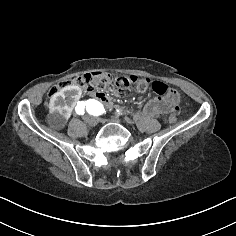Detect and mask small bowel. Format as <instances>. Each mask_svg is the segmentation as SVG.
Wrapping results in <instances>:
<instances>
[{
    "label": "small bowel",
    "instance_id": "1",
    "mask_svg": "<svg viewBox=\"0 0 236 236\" xmlns=\"http://www.w3.org/2000/svg\"><path fill=\"white\" fill-rule=\"evenodd\" d=\"M172 100L155 98L151 100L144 108L143 113L150 117H158L171 109Z\"/></svg>",
    "mask_w": 236,
    "mask_h": 236
}]
</instances>
